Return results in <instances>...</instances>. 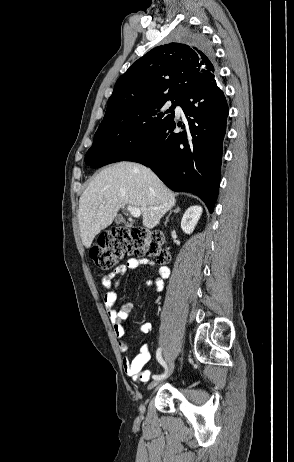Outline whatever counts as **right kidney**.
Here are the masks:
<instances>
[{
  "mask_svg": "<svg viewBox=\"0 0 294 462\" xmlns=\"http://www.w3.org/2000/svg\"><path fill=\"white\" fill-rule=\"evenodd\" d=\"M202 211L203 209L199 205L191 206L186 210L181 220V228L184 233L191 234L194 231Z\"/></svg>",
  "mask_w": 294,
  "mask_h": 462,
  "instance_id": "obj_1",
  "label": "right kidney"
}]
</instances>
